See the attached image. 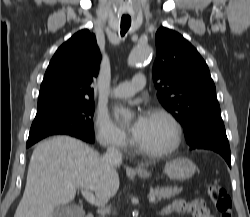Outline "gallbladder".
<instances>
[{
    "label": "gallbladder",
    "mask_w": 250,
    "mask_h": 217,
    "mask_svg": "<svg viewBox=\"0 0 250 217\" xmlns=\"http://www.w3.org/2000/svg\"><path fill=\"white\" fill-rule=\"evenodd\" d=\"M84 210L75 205H66L55 208L53 217H84Z\"/></svg>",
    "instance_id": "bac80fb5"
}]
</instances>
